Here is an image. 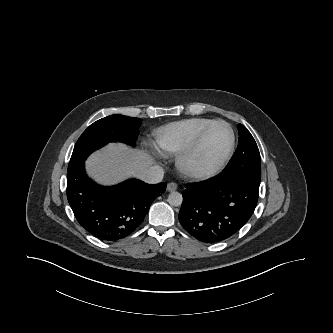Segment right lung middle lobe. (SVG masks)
Masks as SVG:
<instances>
[{
	"instance_id": "obj_1",
	"label": "right lung middle lobe",
	"mask_w": 333,
	"mask_h": 333,
	"mask_svg": "<svg viewBox=\"0 0 333 333\" xmlns=\"http://www.w3.org/2000/svg\"><path fill=\"white\" fill-rule=\"evenodd\" d=\"M141 125L140 118L111 115L91 124L75 144L68 171L83 163L95 150L109 142H123L134 146Z\"/></svg>"
}]
</instances>
